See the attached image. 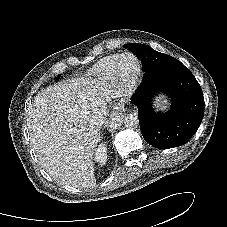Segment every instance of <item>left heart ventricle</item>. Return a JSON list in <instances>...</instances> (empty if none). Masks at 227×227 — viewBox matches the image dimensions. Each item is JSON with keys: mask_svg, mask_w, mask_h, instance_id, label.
Masks as SVG:
<instances>
[{"mask_svg": "<svg viewBox=\"0 0 227 227\" xmlns=\"http://www.w3.org/2000/svg\"><path fill=\"white\" fill-rule=\"evenodd\" d=\"M135 69V62L132 58L127 57L122 62V71L125 75H130Z\"/></svg>", "mask_w": 227, "mask_h": 227, "instance_id": "1", "label": "left heart ventricle"}]
</instances>
